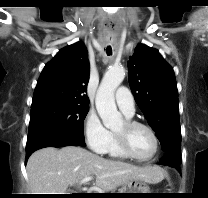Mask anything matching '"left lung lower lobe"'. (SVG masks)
I'll use <instances>...</instances> for the list:
<instances>
[{
  "instance_id": "left-lung-lower-lobe-1",
  "label": "left lung lower lobe",
  "mask_w": 208,
  "mask_h": 198,
  "mask_svg": "<svg viewBox=\"0 0 208 198\" xmlns=\"http://www.w3.org/2000/svg\"><path fill=\"white\" fill-rule=\"evenodd\" d=\"M162 165H169L171 167L176 168L178 171L179 170V165L181 163V161L177 160L175 157L171 156V155H165V158L162 159V161L160 162Z\"/></svg>"
}]
</instances>
